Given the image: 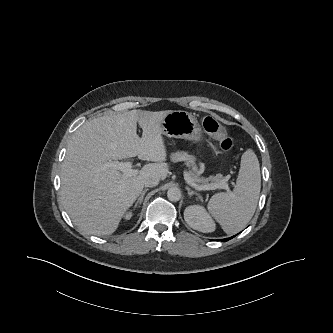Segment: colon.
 Segmentation results:
<instances>
[{"instance_id":"obj_1","label":"colon","mask_w":333,"mask_h":333,"mask_svg":"<svg viewBox=\"0 0 333 333\" xmlns=\"http://www.w3.org/2000/svg\"><path fill=\"white\" fill-rule=\"evenodd\" d=\"M203 127L207 133L213 136L223 151H228L233 146V141L226 130L211 116L203 119Z\"/></svg>"}]
</instances>
